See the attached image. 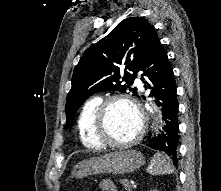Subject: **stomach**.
Returning a JSON list of instances; mask_svg holds the SVG:
<instances>
[{"mask_svg":"<svg viewBox=\"0 0 221 191\" xmlns=\"http://www.w3.org/2000/svg\"><path fill=\"white\" fill-rule=\"evenodd\" d=\"M144 163L143 155L136 150H120L93 157L77 164L72 176L83 178L99 173L127 174L140 168Z\"/></svg>","mask_w":221,"mask_h":191,"instance_id":"1","label":"stomach"}]
</instances>
